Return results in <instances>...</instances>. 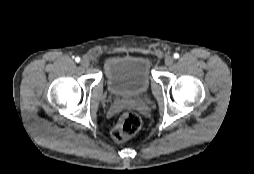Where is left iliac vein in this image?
<instances>
[{
	"instance_id": "1",
	"label": "left iliac vein",
	"mask_w": 254,
	"mask_h": 174,
	"mask_svg": "<svg viewBox=\"0 0 254 174\" xmlns=\"http://www.w3.org/2000/svg\"><path fill=\"white\" fill-rule=\"evenodd\" d=\"M173 62H174V57L173 56H167L165 58V64L167 66H171L173 64Z\"/></svg>"
}]
</instances>
